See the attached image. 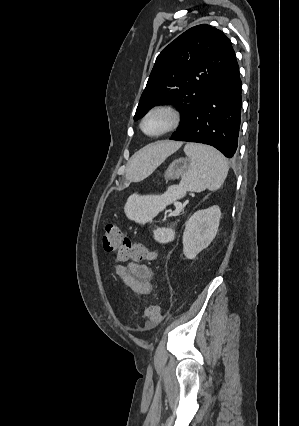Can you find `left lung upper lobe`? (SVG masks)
<instances>
[{"mask_svg":"<svg viewBox=\"0 0 299 426\" xmlns=\"http://www.w3.org/2000/svg\"><path fill=\"white\" fill-rule=\"evenodd\" d=\"M234 55L222 31L207 24L188 29L157 56L134 120L156 104L173 103L181 113L179 132Z\"/></svg>","mask_w":299,"mask_h":426,"instance_id":"left-lung-upper-lobe-1","label":"left lung upper lobe"}]
</instances>
